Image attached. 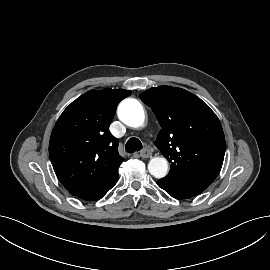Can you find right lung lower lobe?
<instances>
[{
  "label": "right lung lower lobe",
  "mask_w": 270,
  "mask_h": 270,
  "mask_svg": "<svg viewBox=\"0 0 270 270\" xmlns=\"http://www.w3.org/2000/svg\"><path fill=\"white\" fill-rule=\"evenodd\" d=\"M117 180H118V177L104 187H101V188L94 190V191L84 192V193L78 194L76 196L81 198V199L87 200V201L98 200V199L102 198L116 184Z\"/></svg>",
  "instance_id": "right-lung-lower-lobe-1"
}]
</instances>
